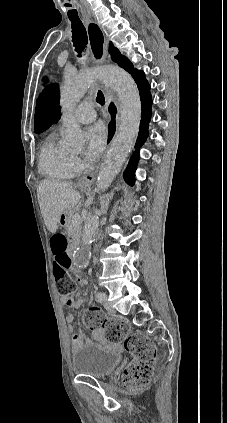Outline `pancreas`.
I'll list each match as a JSON object with an SVG mask.
<instances>
[{"instance_id":"pancreas-1","label":"pancreas","mask_w":227,"mask_h":423,"mask_svg":"<svg viewBox=\"0 0 227 423\" xmlns=\"http://www.w3.org/2000/svg\"><path fill=\"white\" fill-rule=\"evenodd\" d=\"M75 213H77V211L70 210V213L68 215V219H67V225H66V229H67V233L68 235H71V237H73V239H78V237H80L81 235V225H78V223H73L72 221V217L73 215H75Z\"/></svg>"}]
</instances>
